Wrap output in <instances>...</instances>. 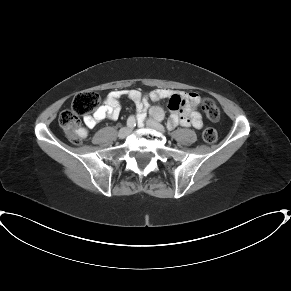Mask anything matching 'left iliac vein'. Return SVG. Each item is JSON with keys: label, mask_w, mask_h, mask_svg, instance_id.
Here are the masks:
<instances>
[{"label": "left iliac vein", "mask_w": 291, "mask_h": 291, "mask_svg": "<svg viewBox=\"0 0 291 291\" xmlns=\"http://www.w3.org/2000/svg\"><path fill=\"white\" fill-rule=\"evenodd\" d=\"M146 126L149 128L155 129L159 132H164V127L159 122H157L156 120L152 118H149L146 120Z\"/></svg>", "instance_id": "4c4485c4"}]
</instances>
